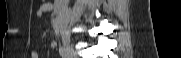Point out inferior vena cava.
Segmentation results:
<instances>
[{
	"label": "inferior vena cava",
	"mask_w": 181,
	"mask_h": 58,
	"mask_svg": "<svg viewBox=\"0 0 181 58\" xmlns=\"http://www.w3.org/2000/svg\"><path fill=\"white\" fill-rule=\"evenodd\" d=\"M65 1H66L65 5H66V7H67V4H68L69 0H65Z\"/></svg>",
	"instance_id": "obj_1"
}]
</instances>
